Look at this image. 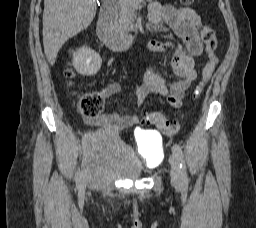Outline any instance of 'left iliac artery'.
<instances>
[{
    "label": "left iliac artery",
    "instance_id": "1",
    "mask_svg": "<svg viewBox=\"0 0 256 228\" xmlns=\"http://www.w3.org/2000/svg\"><path fill=\"white\" fill-rule=\"evenodd\" d=\"M172 149L175 152V154L178 156L179 161H180L182 184L184 186H187L188 185V177H187V169H186L183 151H182L181 147L177 144H174Z\"/></svg>",
    "mask_w": 256,
    "mask_h": 228
}]
</instances>
